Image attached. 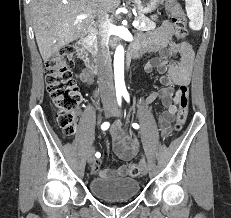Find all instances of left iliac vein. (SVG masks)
I'll return each mask as SVG.
<instances>
[{
    "label": "left iliac vein",
    "mask_w": 231,
    "mask_h": 218,
    "mask_svg": "<svg viewBox=\"0 0 231 218\" xmlns=\"http://www.w3.org/2000/svg\"><path fill=\"white\" fill-rule=\"evenodd\" d=\"M121 113H122V112H121L120 110L116 109V110L114 111L113 115L116 116V117H120V116H121ZM140 170H141V173H142L143 175H146L147 172H148V166H147V164H146V162H145V160H144L143 158H142L141 161H140Z\"/></svg>",
    "instance_id": "4c4485c4"
}]
</instances>
